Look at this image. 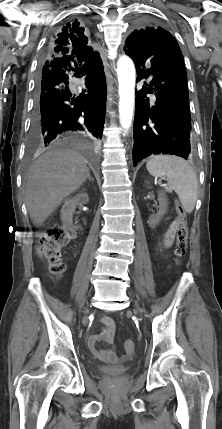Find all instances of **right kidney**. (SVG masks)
<instances>
[{
  "mask_svg": "<svg viewBox=\"0 0 222 429\" xmlns=\"http://www.w3.org/2000/svg\"><path fill=\"white\" fill-rule=\"evenodd\" d=\"M89 202L88 194L79 193L76 196L65 201L61 209V220L64 225L71 226L73 213L76 209V206L80 204H87Z\"/></svg>",
  "mask_w": 222,
  "mask_h": 429,
  "instance_id": "obj_1",
  "label": "right kidney"
}]
</instances>
